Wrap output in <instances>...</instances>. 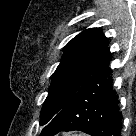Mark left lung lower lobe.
<instances>
[{"label":"left lung lower lobe","instance_id":"0a47b994","mask_svg":"<svg viewBox=\"0 0 136 136\" xmlns=\"http://www.w3.org/2000/svg\"><path fill=\"white\" fill-rule=\"evenodd\" d=\"M107 62L78 90L69 103L43 128L41 136L79 130L91 136H120L121 115L111 88Z\"/></svg>","mask_w":136,"mask_h":136}]
</instances>
